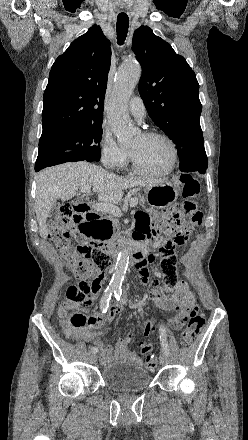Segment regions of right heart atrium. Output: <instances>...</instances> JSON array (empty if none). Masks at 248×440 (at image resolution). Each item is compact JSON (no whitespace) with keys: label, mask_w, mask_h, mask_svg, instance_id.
<instances>
[{"label":"right heart atrium","mask_w":248,"mask_h":440,"mask_svg":"<svg viewBox=\"0 0 248 440\" xmlns=\"http://www.w3.org/2000/svg\"><path fill=\"white\" fill-rule=\"evenodd\" d=\"M102 161L113 169H119L128 162L130 152L121 146L108 128H103L100 137Z\"/></svg>","instance_id":"d8ad5b80"}]
</instances>
